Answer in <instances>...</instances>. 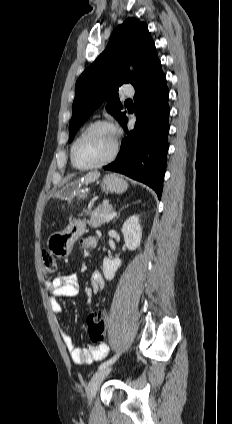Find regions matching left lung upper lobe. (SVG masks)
I'll list each match as a JSON object with an SVG mask.
<instances>
[{
	"instance_id": "5c2ea615",
	"label": "left lung upper lobe",
	"mask_w": 232,
	"mask_h": 424,
	"mask_svg": "<svg viewBox=\"0 0 232 424\" xmlns=\"http://www.w3.org/2000/svg\"><path fill=\"white\" fill-rule=\"evenodd\" d=\"M159 62L147 25L128 18L113 31L106 49L81 74L76 82L72 118L69 125L71 142L85 120L107 98V111L120 123L125 117L118 87L143 82ZM132 64L141 79L127 69Z\"/></svg>"
}]
</instances>
